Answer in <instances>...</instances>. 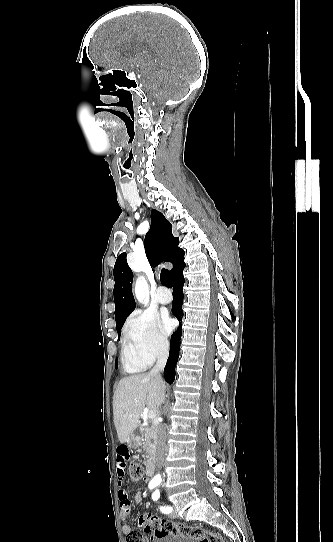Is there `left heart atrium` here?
I'll return each mask as SVG.
<instances>
[{"instance_id":"left-heart-atrium-1","label":"left heart atrium","mask_w":333,"mask_h":542,"mask_svg":"<svg viewBox=\"0 0 333 542\" xmlns=\"http://www.w3.org/2000/svg\"><path fill=\"white\" fill-rule=\"evenodd\" d=\"M166 326L169 330H171L173 327H174V322L172 319H167L166 320Z\"/></svg>"}]
</instances>
